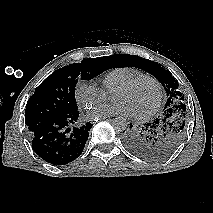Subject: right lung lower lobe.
Wrapping results in <instances>:
<instances>
[{
    "label": "right lung lower lobe",
    "mask_w": 213,
    "mask_h": 213,
    "mask_svg": "<svg viewBox=\"0 0 213 213\" xmlns=\"http://www.w3.org/2000/svg\"><path fill=\"white\" fill-rule=\"evenodd\" d=\"M79 112L41 122L32 128L33 150L43 160L65 165L78 158L93 124L78 125Z\"/></svg>",
    "instance_id": "obj_1"
}]
</instances>
